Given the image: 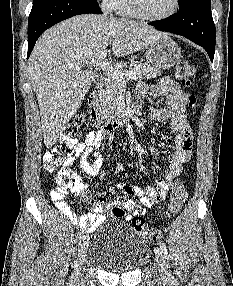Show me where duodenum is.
Wrapping results in <instances>:
<instances>
[{"mask_svg": "<svg viewBox=\"0 0 233 286\" xmlns=\"http://www.w3.org/2000/svg\"><path fill=\"white\" fill-rule=\"evenodd\" d=\"M105 86V79L98 80L88 99L89 116L92 124L107 133H113L123 127L126 114L122 113L113 119H105L100 115L98 108L99 94Z\"/></svg>", "mask_w": 233, "mask_h": 286, "instance_id": "1", "label": "duodenum"}]
</instances>
